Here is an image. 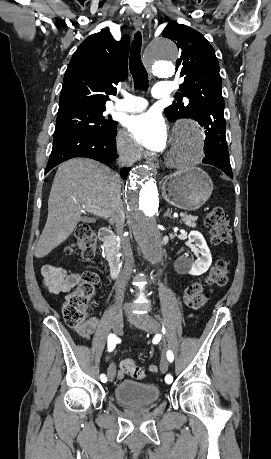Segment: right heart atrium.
Returning a JSON list of instances; mask_svg holds the SVG:
<instances>
[{
    "label": "right heart atrium",
    "mask_w": 271,
    "mask_h": 459,
    "mask_svg": "<svg viewBox=\"0 0 271 459\" xmlns=\"http://www.w3.org/2000/svg\"><path fill=\"white\" fill-rule=\"evenodd\" d=\"M116 144L119 152L129 161L134 162L140 157V149L130 139L129 135L124 131L120 130L116 137Z\"/></svg>",
    "instance_id": "d8ad5b80"
}]
</instances>
